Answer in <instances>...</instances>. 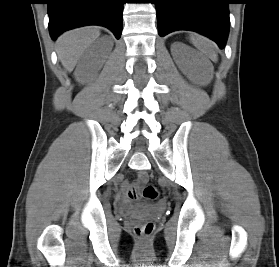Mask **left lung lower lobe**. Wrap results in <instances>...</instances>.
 Returning a JSON list of instances; mask_svg holds the SVG:
<instances>
[{
    "label": "left lung lower lobe",
    "mask_w": 279,
    "mask_h": 267,
    "mask_svg": "<svg viewBox=\"0 0 279 267\" xmlns=\"http://www.w3.org/2000/svg\"><path fill=\"white\" fill-rule=\"evenodd\" d=\"M159 35L175 30L203 34L224 48L229 32L230 0H155Z\"/></svg>",
    "instance_id": "1"
}]
</instances>
